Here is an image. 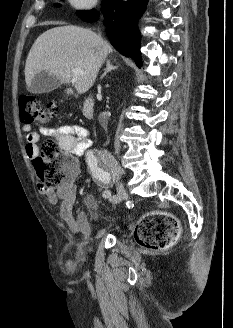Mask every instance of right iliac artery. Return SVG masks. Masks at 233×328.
<instances>
[{"label":"right iliac artery","instance_id":"82829eb1","mask_svg":"<svg viewBox=\"0 0 233 328\" xmlns=\"http://www.w3.org/2000/svg\"><path fill=\"white\" fill-rule=\"evenodd\" d=\"M86 159L95 182L98 186L105 188L103 197L109 198L111 196V192L107 189L110 183L108 162L105 160L102 152L99 150H92L87 152Z\"/></svg>","mask_w":233,"mask_h":328}]
</instances>
